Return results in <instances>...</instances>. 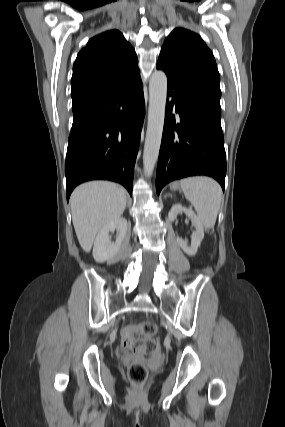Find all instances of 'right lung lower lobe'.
Instances as JSON below:
<instances>
[{
	"instance_id": "98d812e1",
	"label": "right lung lower lobe",
	"mask_w": 285,
	"mask_h": 427,
	"mask_svg": "<svg viewBox=\"0 0 285 427\" xmlns=\"http://www.w3.org/2000/svg\"><path fill=\"white\" fill-rule=\"evenodd\" d=\"M65 162L66 193L80 183L106 179L132 193L144 118L140 76L73 107Z\"/></svg>"
}]
</instances>
